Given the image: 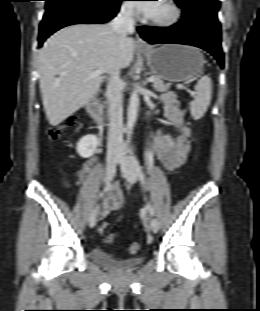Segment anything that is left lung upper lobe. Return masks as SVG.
<instances>
[{
	"mask_svg": "<svg viewBox=\"0 0 260 311\" xmlns=\"http://www.w3.org/2000/svg\"><path fill=\"white\" fill-rule=\"evenodd\" d=\"M175 2L183 9V18H204L219 24L217 12L220 2L218 0H175Z\"/></svg>",
	"mask_w": 260,
	"mask_h": 311,
	"instance_id": "obj_1",
	"label": "left lung upper lobe"
}]
</instances>
